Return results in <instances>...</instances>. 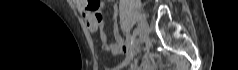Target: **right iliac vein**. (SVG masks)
Returning a JSON list of instances; mask_svg holds the SVG:
<instances>
[{
  "label": "right iliac vein",
  "instance_id": "right-iliac-vein-1",
  "mask_svg": "<svg viewBox=\"0 0 238 70\" xmlns=\"http://www.w3.org/2000/svg\"><path fill=\"white\" fill-rule=\"evenodd\" d=\"M138 29H139V37H140V44L144 43L148 38V24L146 20L140 19L138 22ZM139 50V48H138ZM132 56L129 57L125 62L122 63L121 67L127 65L131 60Z\"/></svg>",
  "mask_w": 238,
  "mask_h": 70
}]
</instances>
